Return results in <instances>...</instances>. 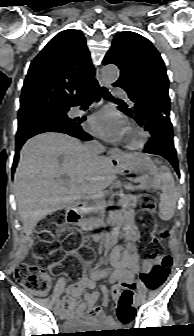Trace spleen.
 <instances>
[{
  "label": "spleen",
  "instance_id": "spleen-1",
  "mask_svg": "<svg viewBox=\"0 0 194 336\" xmlns=\"http://www.w3.org/2000/svg\"><path fill=\"white\" fill-rule=\"evenodd\" d=\"M156 162L160 163L158 160H156ZM160 177L163 182L159 205L160 218L164 221H167L170 220L174 215L178 194L174 178L167 167H160Z\"/></svg>",
  "mask_w": 194,
  "mask_h": 336
}]
</instances>
